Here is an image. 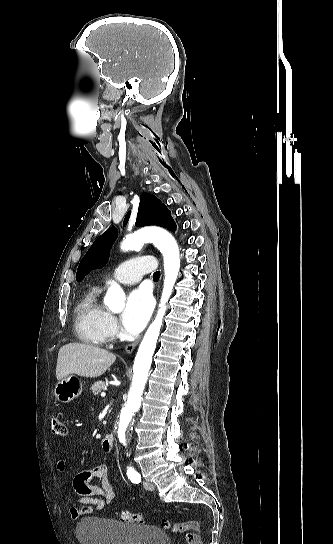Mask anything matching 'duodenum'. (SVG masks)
I'll return each mask as SVG.
<instances>
[{"label":"duodenum","instance_id":"obj_1","mask_svg":"<svg viewBox=\"0 0 333 544\" xmlns=\"http://www.w3.org/2000/svg\"><path fill=\"white\" fill-rule=\"evenodd\" d=\"M114 436L111 433L106 434L102 439V448L105 452H111L114 446Z\"/></svg>","mask_w":333,"mask_h":544}]
</instances>
